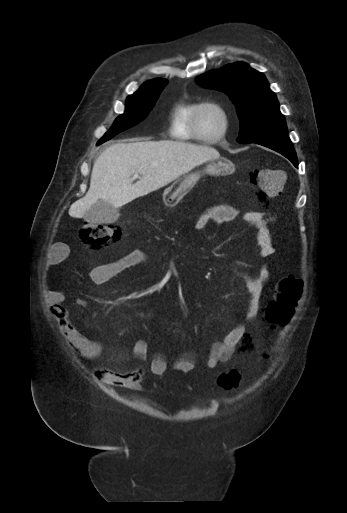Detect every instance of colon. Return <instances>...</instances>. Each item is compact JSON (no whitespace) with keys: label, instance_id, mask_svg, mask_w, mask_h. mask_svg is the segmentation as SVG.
<instances>
[{"label":"colon","instance_id":"obj_1","mask_svg":"<svg viewBox=\"0 0 347 513\" xmlns=\"http://www.w3.org/2000/svg\"><path fill=\"white\" fill-rule=\"evenodd\" d=\"M251 183L257 188L261 201L276 198L281 194L284 185V176L281 170L260 169L250 172ZM80 239L90 248H108L117 243L122 236V228L115 224L84 223L79 232ZM304 291L303 281L294 275L281 278L276 284L273 299L266 309L267 320L277 329L284 328L292 316ZM265 359L274 355L270 346L261 350ZM240 375L232 370L221 374L218 384L224 389H232L239 385Z\"/></svg>","mask_w":347,"mask_h":513}]
</instances>
